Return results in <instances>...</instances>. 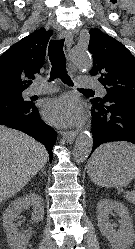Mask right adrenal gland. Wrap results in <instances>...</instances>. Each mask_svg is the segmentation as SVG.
I'll return each mask as SVG.
<instances>
[{
	"label": "right adrenal gland",
	"mask_w": 135,
	"mask_h": 249,
	"mask_svg": "<svg viewBox=\"0 0 135 249\" xmlns=\"http://www.w3.org/2000/svg\"><path fill=\"white\" fill-rule=\"evenodd\" d=\"M42 175H46V172L44 170L41 171Z\"/></svg>",
	"instance_id": "2a0ac1e0"
}]
</instances>
